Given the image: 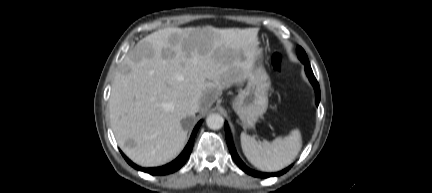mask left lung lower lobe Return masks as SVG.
<instances>
[{
	"label": "left lung lower lobe",
	"instance_id": "1",
	"mask_svg": "<svg viewBox=\"0 0 432 193\" xmlns=\"http://www.w3.org/2000/svg\"><path fill=\"white\" fill-rule=\"evenodd\" d=\"M300 60L305 65L306 74H307L310 82L312 83V85H313V87L315 89V92H316V105L318 106V104L320 102V87H319V84H318V82H317V80H316V78H315V76H314V74L312 72V69L310 67L309 61L306 60V59H300ZM225 136H226V141H227L230 153H231L233 159L235 160V162L237 163V165L243 171H245L246 173H248V174H250L252 176L261 177V178H267V177H271V176H279V175H282L285 172H287L292 167V165H290L289 167H287L286 169H284V170H282V171H280L278 173H261V172L253 171V170L249 169L242 162V160L239 158V156H238V154H237V152L235 150V147H234V144H233V141H232V137H231V134H230V131H229L227 123H225Z\"/></svg>",
	"mask_w": 432,
	"mask_h": 193
}]
</instances>
